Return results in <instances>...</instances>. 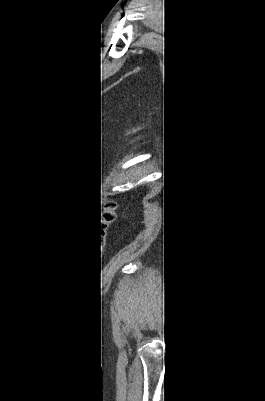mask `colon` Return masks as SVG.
I'll return each instance as SVG.
<instances>
[{
    "label": "colon",
    "instance_id": "obj_1",
    "mask_svg": "<svg viewBox=\"0 0 265 401\" xmlns=\"http://www.w3.org/2000/svg\"><path fill=\"white\" fill-rule=\"evenodd\" d=\"M116 209V204L112 199H108L104 204L105 217H112Z\"/></svg>",
    "mask_w": 265,
    "mask_h": 401
}]
</instances>
